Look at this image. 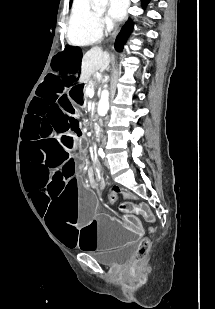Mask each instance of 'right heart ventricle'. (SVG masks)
<instances>
[{
  "mask_svg": "<svg viewBox=\"0 0 215 309\" xmlns=\"http://www.w3.org/2000/svg\"><path fill=\"white\" fill-rule=\"evenodd\" d=\"M66 40L74 47L86 46L89 42H99L102 31L92 23V16L88 9H75L72 11L70 23L66 25Z\"/></svg>",
  "mask_w": 215,
  "mask_h": 309,
  "instance_id": "obj_1",
  "label": "right heart ventricle"
}]
</instances>
